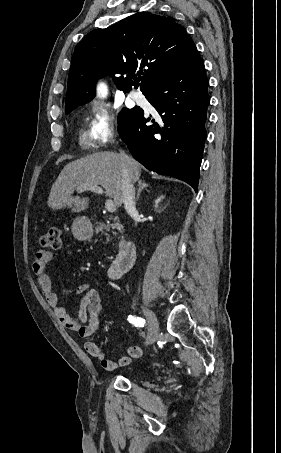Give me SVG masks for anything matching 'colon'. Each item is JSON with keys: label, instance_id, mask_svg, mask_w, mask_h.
I'll return each mask as SVG.
<instances>
[{"label": "colon", "instance_id": "5ec220e1", "mask_svg": "<svg viewBox=\"0 0 281 453\" xmlns=\"http://www.w3.org/2000/svg\"><path fill=\"white\" fill-rule=\"evenodd\" d=\"M59 226H49L42 235L40 245H45L46 251H56L58 249Z\"/></svg>", "mask_w": 281, "mask_h": 453}]
</instances>
